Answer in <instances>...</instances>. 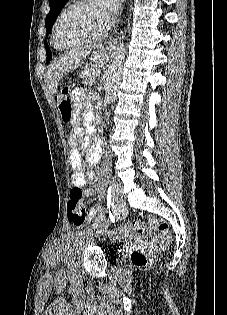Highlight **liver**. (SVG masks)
<instances>
[{"label":"liver","instance_id":"liver-1","mask_svg":"<svg viewBox=\"0 0 227 315\" xmlns=\"http://www.w3.org/2000/svg\"><path fill=\"white\" fill-rule=\"evenodd\" d=\"M83 56L82 51H71L50 63L45 77L48 89L52 94L58 93L57 87L63 75L81 65Z\"/></svg>","mask_w":227,"mask_h":315}]
</instances>
